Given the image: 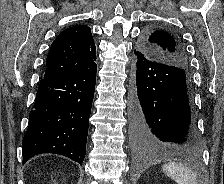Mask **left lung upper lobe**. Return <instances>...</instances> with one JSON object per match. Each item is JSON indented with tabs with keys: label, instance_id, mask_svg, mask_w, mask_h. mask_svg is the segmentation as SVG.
I'll use <instances>...</instances> for the list:
<instances>
[{
	"label": "left lung upper lobe",
	"instance_id": "5c2ea615",
	"mask_svg": "<svg viewBox=\"0 0 224 184\" xmlns=\"http://www.w3.org/2000/svg\"><path fill=\"white\" fill-rule=\"evenodd\" d=\"M139 51L150 60L187 70L184 47L177 36L166 30L148 31L139 43Z\"/></svg>",
	"mask_w": 224,
	"mask_h": 184
}]
</instances>
